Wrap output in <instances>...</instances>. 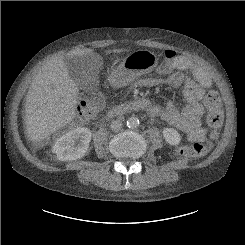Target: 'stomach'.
Wrapping results in <instances>:
<instances>
[{"mask_svg":"<svg viewBox=\"0 0 245 245\" xmlns=\"http://www.w3.org/2000/svg\"><path fill=\"white\" fill-rule=\"evenodd\" d=\"M158 64V57L151 51L138 50L129 54L112 72L110 80L115 86H125L139 76L151 72Z\"/></svg>","mask_w":245,"mask_h":245,"instance_id":"1","label":"stomach"}]
</instances>
